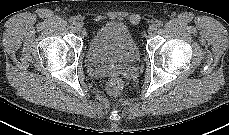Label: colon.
<instances>
[{
    "label": "colon",
    "mask_w": 229,
    "mask_h": 135,
    "mask_svg": "<svg viewBox=\"0 0 229 135\" xmlns=\"http://www.w3.org/2000/svg\"><path fill=\"white\" fill-rule=\"evenodd\" d=\"M121 89V81L118 78H112L108 81L105 91L109 96L115 97L120 93Z\"/></svg>",
    "instance_id": "colon-1"
}]
</instances>
